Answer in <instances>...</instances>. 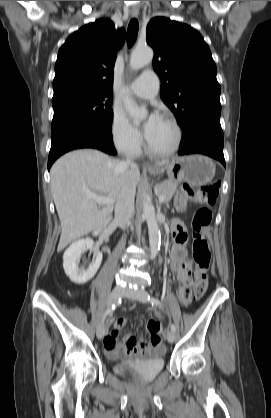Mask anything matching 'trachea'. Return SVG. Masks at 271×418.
I'll return each mask as SVG.
<instances>
[{"label":"trachea","mask_w":271,"mask_h":418,"mask_svg":"<svg viewBox=\"0 0 271 418\" xmlns=\"http://www.w3.org/2000/svg\"><path fill=\"white\" fill-rule=\"evenodd\" d=\"M139 24L136 19H132L127 29V44L131 47L137 38Z\"/></svg>","instance_id":"trachea-1"}]
</instances>
